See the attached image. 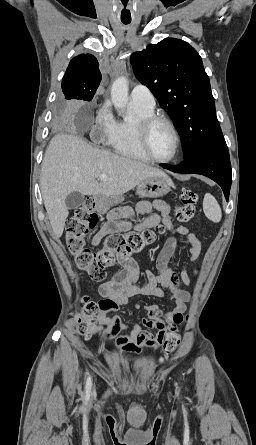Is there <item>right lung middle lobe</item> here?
Here are the masks:
<instances>
[{"label": "right lung middle lobe", "mask_w": 256, "mask_h": 445, "mask_svg": "<svg viewBox=\"0 0 256 445\" xmlns=\"http://www.w3.org/2000/svg\"><path fill=\"white\" fill-rule=\"evenodd\" d=\"M65 99H66V100H72V98H69V97H66V96H65Z\"/></svg>", "instance_id": "dd1d6c3e"}]
</instances>
